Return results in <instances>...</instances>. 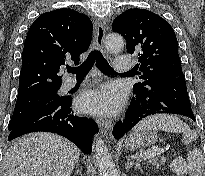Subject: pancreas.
<instances>
[{"label": "pancreas", "mask_w": 205, "mask_h": 176, "mask_svg": "<svg viewBox=\"0 0 205 176\" xmlns=\"http://www.w3.org/2000/svg\"><path fill=\"white\" fill-rule=\"evenodd\" d=\"M166 162V158L160 155H157L150 159L149 164L156 167V169H160L161 165H164Z\"/></svg>", "instance_id": "pancreas-1"}]
</instances>
